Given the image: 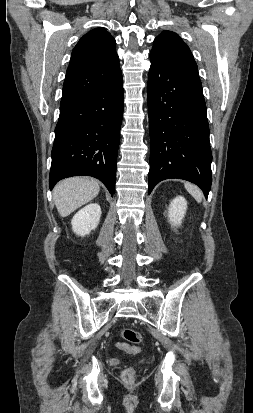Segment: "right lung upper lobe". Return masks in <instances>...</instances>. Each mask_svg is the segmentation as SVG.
<instances>
[{
  "label": "right lung upper lobe",
  "instance_id": "obj_1",
  "mask_svg": "<svg viewBox=\"0 0 253 413\" xmlns=\"http://www.w3.org/2000/svg\"><path fill=\"white\" fill-rule=\"evenodd\" d=\"M115 45V39L103 28L93 29L79 40L66 72L61 104L92 93L121 71Z\"/></svg>",
  "mask_w": 253,
  "mask_h": 413
}]
</instances>
